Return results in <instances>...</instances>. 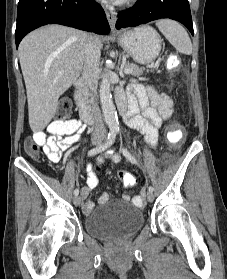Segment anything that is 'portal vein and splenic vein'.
<instances>
[{"instance_id": "portal-vein-and-splenic-vein-1", "label": "portal vein and splenic vein", "mask_w": 227, "mask_h": 279, "mask_svg": "<svg viewBox=\"0 0 227 279\" xmlns=\"http://www.w3.org/2000/svg\"><path fill=\"white\" fill-rule=\"evenodd\" d=\"M131 72H132L131 68H124V73L125 74H130ZM60 74H62V73L60 72Z\"/></svg>"}]
</instances>
